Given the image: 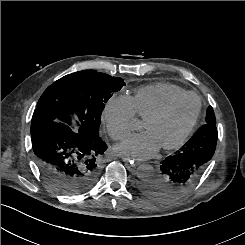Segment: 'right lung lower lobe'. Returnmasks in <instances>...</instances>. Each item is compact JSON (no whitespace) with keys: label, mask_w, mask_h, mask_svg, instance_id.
<instances>
[{"label":"right lung lower lobe","mask_w":245,"mask_h":245,"mask_svg":"<svg viewBox=\"0 0 245 245\" xmlns=\"http://www.w3.org/2000/svg\"><path fill=\"white\" fill-rule=\"evenodd\" d=\"M32 148L41 175L57 192L83 193L97 181L101 156L107 149L100 138L73 132L44 108H37L31 122Z\"/></svg>","instance_id":"98d812e1"}]
</instances>
